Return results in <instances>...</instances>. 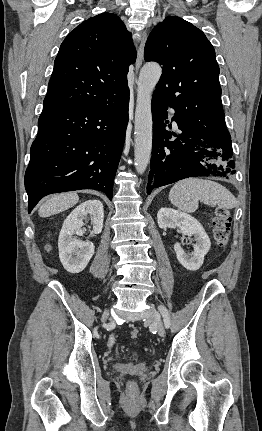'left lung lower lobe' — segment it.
Returning a JSON list of instances; mask_svg holds the SVG:
<instances>
[{"mask_svg":"<svg viewBox=\"0 0 262 431\" xmlns=\"http://www.w3.org/2000/svg\"><path fill=\"white\" fill-rule=\"evenodd\" d=\"M168 102L153 94V145L147 193L154 188L189 177L221 176L235 173L231 136L224 132L218 137H207L185 127L176 115L181 134L170 140L172 134L165 127L168 120ZM171 127V124H169Z\"/></svg>","mask_w":262,"mask_h":431,"instance_id":"obj_1","label":"left lung lower lobe"}]
</instances>
